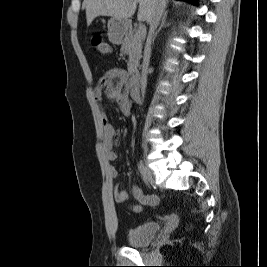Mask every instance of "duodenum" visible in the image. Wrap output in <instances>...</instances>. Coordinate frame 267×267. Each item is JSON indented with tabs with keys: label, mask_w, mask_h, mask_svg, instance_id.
<instances>
[{
	"label": "duodenum",
	"mask_w": 267,
	"mask_h": 267,
	"mask_svg": "<svg viewBox=\"0 0 267 267\" xmlns=\"http://www.w3.org/2000/svg\"><path fill=\"white\" fill-rule=\"evenodd\" d=\"M139 74L133 73L130 80V95L133 100L139 101L140 100V91H139Z\"/></svg>",
	"instance_id": "1"
}]
</instances>
